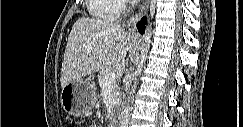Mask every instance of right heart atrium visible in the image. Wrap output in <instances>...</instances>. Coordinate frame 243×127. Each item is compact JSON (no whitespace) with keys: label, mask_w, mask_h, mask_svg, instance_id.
<instances>
[{"label":"right heart atrium","mask_w":243,"mask_h":127,"mask_svg":"<svg viewBox=\"0 0 243 127\" xmlns=\"http://www.w3.org/2000/svg\"><path fill=\"white\" fill-rule=\"evenodd\" d=\"M119 2V5H118V9H117V12H123L126 10L127 8V1L125 0H120L118 1Z\"/></svg>","instance_id":"d8ad5b80"}]
</instances>
